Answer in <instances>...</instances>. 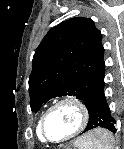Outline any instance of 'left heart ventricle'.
Returning <instances> with one entry per match:
<instances>
[{
	"mask_svg": "<svg viewBox=\"0 0 124 149\" xmlns=\"http://www.w3.org/2000/svg\"><path fill=\"white\" fill-rule=\"evenodd\" d=\"M79 123L77 110L72 105L56 108L46 121V133L52 140H61L72 133Z\"/></svg>",
	"mask_w": 124,
	"mask_h": 149,
	"instance_id": "obj_1",
	"label": "left heart ventricle"
}]
</instances>
